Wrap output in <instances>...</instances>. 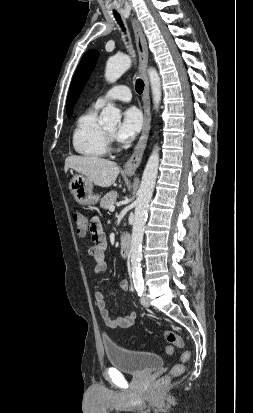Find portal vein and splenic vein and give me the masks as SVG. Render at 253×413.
<instances>
[{"label":"portal vein and splenic vein","instance_id":"18ae733b","mask_svg":"<svg viewBox=\"0 0 253 413\" xmlns=\"http://www.w3.org/2000/svg\"><path fill=\"white\" fill-rule=\"evenodd\" d=\"M109 210H110L111 212H113V211L115 210V206H114V205H110V206H109Z\"/></svg>","mask_w":253,"mask_h":413}]
</instances>
